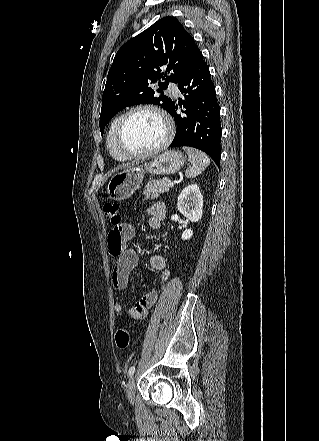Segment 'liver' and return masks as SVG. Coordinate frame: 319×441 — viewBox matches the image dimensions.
<instances>
[{"instance_id":"1","label":"liver","mask_w":319,"mask_h":441,"mask_svg":"<svg viewBox=\"0 0 319 441\" xmlns=\"http://www.w3.org/2000/svg\"><path fill=\"white\" fill-rule=\"evenodd\" d=\"M133 165H135L134 162L126 163V164L120 165V166L118 167V169H126V168H128V167H130V166H133Z\"/></svg>"}]
</instances>
